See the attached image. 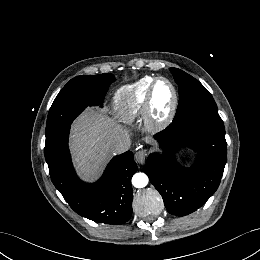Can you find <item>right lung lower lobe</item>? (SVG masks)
<instances>
[{
    "label": "right lung lower lobe",
    "mask_w": 260,
    "mask_h": 260,
    "mask_svg": "<svg viewBox=\"0 0 260 260\" xmlns=\"http://www.w3.org/2000/svg\"><path fill=\"white\" fill-rule=\"evenodd\" d=\"M69 129L70 125L45 145L53 184L79 215L105 224L127 222L132 214L131 178L138 169L133 153L127 151L114 157L98 182L86 184L77 177L71 163Z\"/></svg>",
    "instance_id": "1"
}]
</instances>
